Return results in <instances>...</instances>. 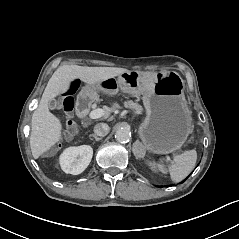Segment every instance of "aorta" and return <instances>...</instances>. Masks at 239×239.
I'll return each instance as SVG.
<instances>
[{
  "label": "aorta",
  "mask_w": 239,
  "mask_h": 239,
  "mask_svg": "<svg viewBox=\"0 0 239 239\" xmlns=\"http://www.w3.org/2000/svg\"><path fill=\"white\" fill-rule=\"evenodd\" d=\"M115 139L120 143H127L131 139V132L127 128H120L115 132Z\"/></svg>",
  "instance_id": "762f6f07"
}]
</instances>
